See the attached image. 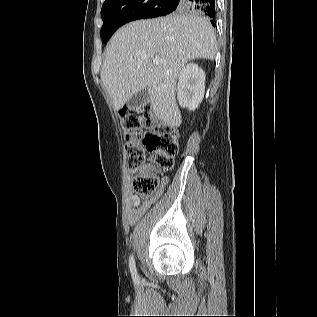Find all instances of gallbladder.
Returning a JSON list of instances; mask_svg holds the SVG:
<instances>
[{"label": "gallbladder", "mask_w": 317, "mask_h": 317, "mask_svg": "<svg viewBox=\"0 0 317 317\" xmlns=\"http://www.w3.org/2000/svg\"><path fill=\"white\" fill-rule=\"evenodd\" d=\"M149 101V92L147 89L135 93L127 102V105L132 108L144 107Z\"/></svg>", "instance_id": "gallbladder-1"}]
</instances>
